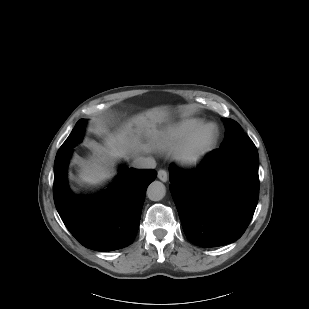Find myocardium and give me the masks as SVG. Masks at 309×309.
Masks as SVG:
<instances>
[{"mask_svg":"<svg viewBox=\"0 0 309 309\" xmlns=\"http://www.w3.org/2000/svg\"><path fill=\"white\" fill-rule=\"evenodd\" d=\"M205 134V139L198 143ZM219 136L220 131L215 123L209 122L199 125L177 147L175 152L177 161L187 168L200 165L214 149Z\"/></svg>","mask_w":309,"mask_h":309,"instance_id":"myocardium-1","label":"myocardium"}]
</instances>
